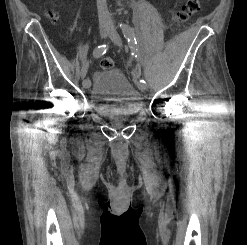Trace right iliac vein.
<instances>
[{
    "instance_id": "right-iliac-vein-1",
    "label": "right iliac vein",
    "mask_w": 247,
    "mask_h": 245,
    "mask_svg": "<svg viewBox=\"0 0 247 245\" xmlns=\"http://www.w3.org/2000/svg\"><path fill=\"white\" fill-rule=\"evenodd\" d=\"M100 37L101 38H105L109 35L110 33V28L109 27H106V26H102L100 27ZM82 85L84 88H89L90 85H91V82L89 79H86V81H82Z\"/></svg>"
}]
</instances>
